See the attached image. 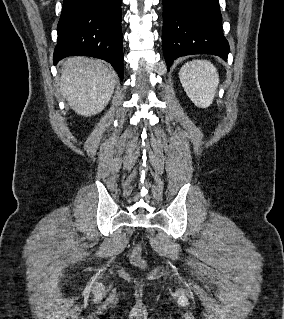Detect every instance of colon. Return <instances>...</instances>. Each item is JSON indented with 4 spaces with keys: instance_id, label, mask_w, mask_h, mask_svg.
Segmentation results:
<instances>
[{
    "instance_id": "obj_1",
    "label": "colon",
    "mask_w": 284,
    "mask_h": 319,
    "mask_svg": "<svg viewBox=\"0 0 284 319\" xmlns=\"http://www.w3.org/2000/svg\"><path fill=\"white\" fill-rule=\"evenodd\" d=\"M141 254H142L141 246H136L132 249V251L130 253V261L132 262V264L139 266V267L145 266V262L142 259Z\"/></svg>"
}]
</instances>
